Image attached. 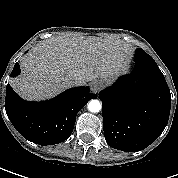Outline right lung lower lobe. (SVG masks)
<instances>
[{
    "mask_svg": "<svg viewBox=\"0 0 178 178\" xmlns=\"http://www.w3.org/2000/svg\"><path fill=\"white\" fill-rule=\"evenodd\" d=\"M19 74L20 66L16 63L10 76ZM96 97L88 87H76L48 101L30 102L21 99L8 84L5 109L13 126L25 139L40 145H52L69 138L78 111Z\"/></svg>",
    "mask_w": 178,
    "mask_h": 178,
    "instance_id": "1",
    "label": "right lung lower lobe"
}]
</instances>
